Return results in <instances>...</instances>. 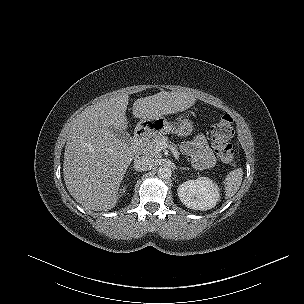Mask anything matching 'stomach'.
I'll return each instance as SVG.
<instances>
[{
	"label": "stomach",
	"instance_id": "0dacf381",
	"mask_svg": "<svg viewBox=\"0 0 304 304\" xmlns=\"http://www.w3.org/2000/svg\"><path fill=\"white\" fill-rule=\"evenodd\" d=\"M137 129H142L144 133L149 135L171 133L181 137L189 136L194 130L192 121L187 118L172 124L163 117L154 121L139 122Z\"/></svg>",
	"mask_w": 304,
	"mask_h": 304
}]
</instances>
